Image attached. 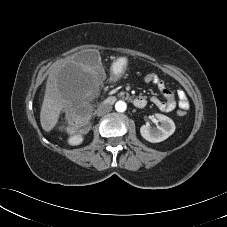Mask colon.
Listing matches in <instances>:
<instances>
[{
  "label": "colon",
  "instance_id": "5ec220e1",
  "mask_svg": "<svg viewBox=\"0 0 227 227\" xmlns=\"http://www.w3.org/2000/svg\"><path fill=\"white\" fill-rule=\"evenodd\" d=\"M158 75L155 72H147L143 76V81L146 83L154 84ZM180 116H184L186 114L185 110L180 109L178 111ZM87 115L88 112L85 108H80L76 112H74L70 117V130L78 131L85 127L87 123Z\"/></svg>",
  "mask_w": 227,
  "mask_h": 227
}]
</instances>
